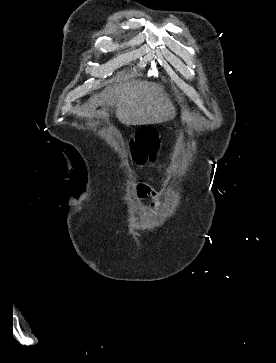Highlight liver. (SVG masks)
<instances>
[{
    "instance_id": "6515ba94",
    "label": "liver",
    "mask_w": 276,
    "mask_h": 363,
    "mask_svg": "<svg viewBox=\"0 0 276 363\" xmlns=\"http://www.w3.org/2000/svg\"><path fill=\"white\" fill-rule=\"evenodd\" d=\"M116 105V117L125 125L157 124L173 119L175 108L164 88L156 83L133 80L107 87L89 99L86 109Z\"/></svg>"
}]
</instances>
